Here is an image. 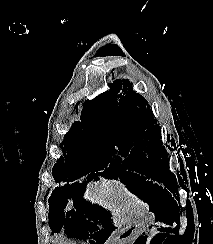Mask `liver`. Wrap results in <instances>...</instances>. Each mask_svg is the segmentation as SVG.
Masks as SVG:
<instances>
[{
    "mask_svg": "<svg viewBox=\"0 0 213 244\" xmlns=\"http://www.w3.org/2000/svg\"><path fill=\"white\" fill-rule=\"evenodd\" d=\"M85 201L91 204H100L111 212L115 211L118 221H132L138 219L146 206L138 202L137 197L127 187L117 180H105L100 177L98 181L88 183L83 195ZM72 209V201H68L64 211ZM122 215V218H118Z\"/></svg>",
    "mask_w": 213,
    "mask_h": 244,
    "instance_id": "liver-1",
    "label": "liver"
}]
</instances>
